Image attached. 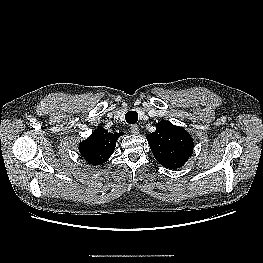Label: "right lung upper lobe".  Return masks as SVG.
Listing matches in <instances>:
<instances>
[{"mask_svg":"<svg viewBox=\"0 0 263 263\" xmlns=\"http://www.w3.org/2000/svg\"><path fill=\"white\" fill-rule=\"evenodd\" d=\"M121 134L109 133L98 127L81 145L80 151L89 164H103L114 152L116 141Z\"/></svg>","mask_w":263,"mask_h":263,"instance_id":"right-lung-upper-lobe-1","label":"right lung upper lobe"}]
</instances>
